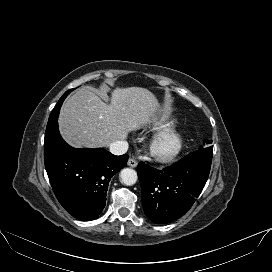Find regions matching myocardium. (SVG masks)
Wrapping results in <instances>:
<instances>
[{"label": "myocardium", "mask_w": 272, "mask_h": 272, "mask_svg": "<svg viewBox=\"0 0 272 272\" xmlns=\"http://www.w3.org/2000/svg\"><path fill=\"white\" fill-rule=\"evenodd\" d=\"M185 136L176 128H166L155 135L150 151L155 160L161 163L174 161L182 152Z\"/></svg>", "instance_id": "obj_1"}]
</instances>
